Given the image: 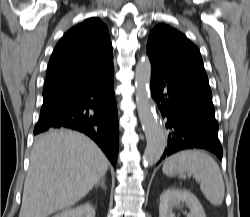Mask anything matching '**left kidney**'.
I'll list each match as a JSON object with an SVG mask.
<instances>
[{"mask_svg": "<svg viewBox=\"0 0 250 217\" xmlns=\"http://www.w3.org/2000/svg\"><path fill=\"white\" fill-rule=\"evenodd\" d=\"M181 202L190 208L187 217H206L204 209L199 200L188 190L169 188L160 196L159 217H175L173 208Z\"/></svg>", "mask_w": 250, "mask_h": 217, "instance_id": "1", "label": "left kidney"}]
</instances>
